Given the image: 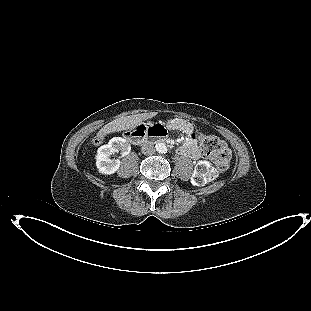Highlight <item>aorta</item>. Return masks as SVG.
<instances>
[{
    "mask_svg": "<svg viewBox=\"0 0 311 311\" xmlns=\"http://www.w3.org/2000/svg\"><path fill=\"white\" fill-rule=\"evenodd\" d=\"M156 150L160 153H163L166 151V145L164 143H158L156 145Z\"/></svg>",
    "mask_w": 311,
    "mask_h": 311,
    "instance_id": "aorta-1",
    "label": "aorta"
}]
</instances>
